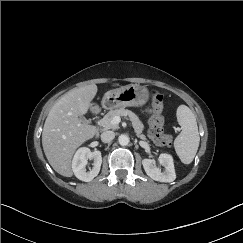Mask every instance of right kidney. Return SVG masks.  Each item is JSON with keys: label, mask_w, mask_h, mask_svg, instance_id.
Wrapping results in <instances>:
<instances>
[{"label": "right kidney", "mask_w": 243, "mask_h": 243, "mask_svg": "<svg viewBox=\"0 0 243 243\" xmlns=\"http://www.w3.org/2000/svg\"><path fill=\"white\" fill-rule=\"evenodd\" d=\"M88 159H93V168L90 171H86V165ZM102 164L101 152L98 150L91 151L87 147H82L77 150L72 161V170L75 176L82 181L90 182L98 174Z\"/></svg>", "instance_id": "obj_1"}]
</instances>
